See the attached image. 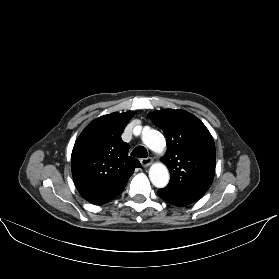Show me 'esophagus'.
<instances>
[{
  "label": "esophagus",
  "instance_id": "1",
  "mask_svg": "<svg viewBox=\"0 0 279 279\" xmlns=\"http://www.w3.org/2000/svg\"><path fill=\"white\" fill-rule=\"evenodd\" d=\"M143 167H148L153 163V159L151 157L143 158L140 160Z\"/></svg>",
  "mask_w": 279,
  "mask_h": 279
}]
</instances>
